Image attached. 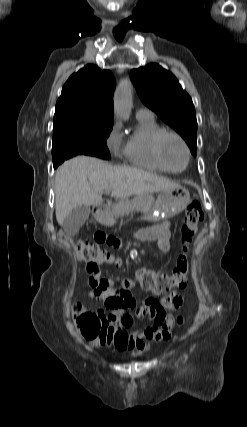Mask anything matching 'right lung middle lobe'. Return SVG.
Returning a JSON list of instances; mask_svg holds the SVG:
<instances>
[{
    "mask_svg": "<svg viewBox=\"0 0 247 427\" xmlns=\"http://www.w3.org/2000/svg\"><path fill=\"white\" fill-rule=\"evenodd\" d=\"M53 127V161L85 154L110 159L106 138L113 121H96L73 112L55 114Z\"/></svg>",
    "mask_w": 247,
    "mask_h": 427,
    "instance_id": "obj_1",
    "label": "right lung middle lobe"
}]
</instances>
